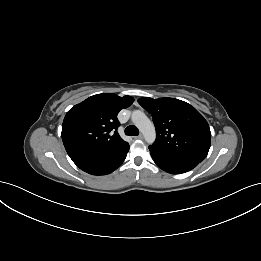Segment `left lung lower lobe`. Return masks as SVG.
<instances>
[{"instance_id":"0a47b994","label":"left lung lower lobe","mask_w":261,"mask_h":261,"mask_svg":"<svg viewBox=\"0 0 261 261\" xmlns=\"http://www.w3.org/2000/svg\"><path fill=\"white\" fill-rule=\"evenodd\" d=\"M149 150L152 159L157 166L171 174L185 173L192 170L200 163L194 159L168 153L152 146H149Z\"/></svg>"}]
</instances>
